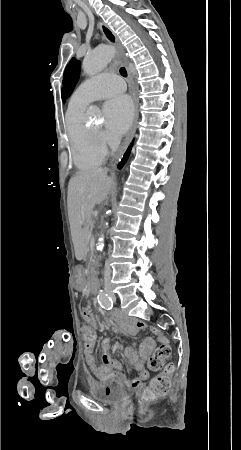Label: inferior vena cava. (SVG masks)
Segmentation results:
<instances>
[{"mask_svg": "<svg viewBox=\"0 0 241 450\" xmlns=\"http://www.w3.org/2000/svg\"><path fill=\"white\" fill-rule=\"evenodd\" d=\"M104 278H105V280H110V278H111V270H110L109 262H106V264H105Z\"/></svg>", "mask_w": 241, "mask_h": 450, "instance_id": "obj_1", "label": "inferior vena cava"}]
</instances>
